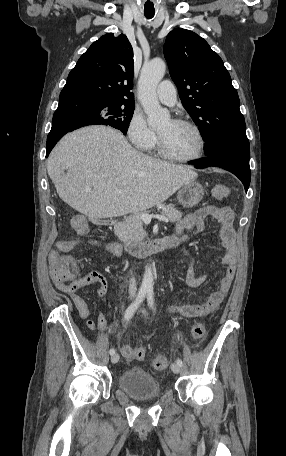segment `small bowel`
Masks as SVG:
<instances>
[{
    "instance_id": "small-bowel-1",
    "label": "small bowel",
    "mask_w": 286,
    "mask_h": 456,
    "mask_svg": "<svg viewBox=\"0 0 286 456\" xmlns=\"http://www.w3.org/2000/svg\"><path fill=\"white\" fill-rule=\"evenodd\" d=\"M213 219L221 225V240L225 255L222 263L225 266V274L221 279L218 288L209 296V298L198 304H185L177 306H168L167 313L171 315H178L186 318H201L212 314L217 310L223 301L225 295L229 291L231 283L234 279L236 272V264L238 257V247L236 244V235L233 229L234 215L232 210L227 206H204L199 208L196 212L187 214L176 223V237L184 241L188 232L199 234L206 228L207 221ZM79 244H87L90 246L100 247L107 253L114 257H121L123 255L122 247L115 242H103L90 238H71L59 241L58 249L62 252H67L78 246ZM58 257V252H52L50 256L51 276L55 287L68 294L71 298L75 308L80 316L87 320L89 329H95L96 325L102 331H110L108 322L103 315L99 313L96 321L90 318V311L85 300L76 293L79 288L94 285V293L97 296H104L108 292L107 279L97 271H91L84 276V279L77 284L75 289H71L64 284L57 282L52 273V266L55 259ZM207 280V275L201 274L197 267L192 266L186 272L187 284L192 288H198L203 285ZM116 337L120 338V332H116ZM134 347L130 345L121 346L123 356L131 361L130 353L133 352Z\"/></svg>"
}]
</instances>
